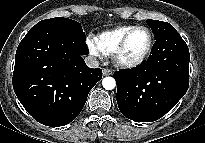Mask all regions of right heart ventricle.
Here are the masks:
<instances>
[{
  "label": "right heart ventricle",
  "mask_w": 205,
  "mask_h": 143,
  "mask_svg": "<svg viewBox=\"0 0 205 143\" xmlns=\"http://www.w3.org/2000/svg\"><path fill=\"white\" fill-rule=\"evenodd\" d=\"M132 27L134 26L122 25L100 33L94 40L101 53L104 55H111L121 41L122 37Z\"/></svg>",
  "instance_id": "1"
}]
</instances>
